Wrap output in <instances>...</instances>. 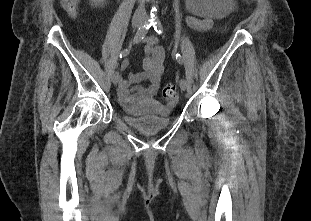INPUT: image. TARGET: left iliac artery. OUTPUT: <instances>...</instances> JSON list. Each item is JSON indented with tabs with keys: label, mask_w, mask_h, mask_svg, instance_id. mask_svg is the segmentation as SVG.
Returning <instances> with one entry per match:
<instances>
[{
	"label": "left iliac artery",
	"mask_w": 311,
	"mask_h": 221,
	"mask_svg": "<svg viewBox=\"0 0 311 221\" xmlns=\"http://www.w3.org/2000/svg\"><path fill=\"white\" fill-rule=\"evenodd\" d=\"M153 27H154V30L158 33V34H161L163 32V25L161 23V21L159 19H154L153 20ZM176 59L177 61L182 64L183 63V60H182V57L179 53L176 54Z\"/></svg>",
	"instance_id": "44dca946"
}]
</instances>
